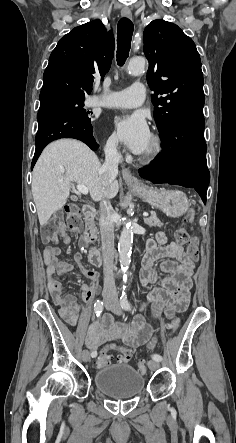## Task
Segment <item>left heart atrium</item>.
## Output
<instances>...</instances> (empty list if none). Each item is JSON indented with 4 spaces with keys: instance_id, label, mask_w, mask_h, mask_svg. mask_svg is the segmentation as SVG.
I'll use <instances>...</instances> for the list:
<instances>
[{
    "instance_id": "left-heart-atrium-1",
    "label": "left heart atrium",
    "mask_w": 236,
    "mask_h": 443,
    "mask_svg": "<svg viewBox=\"0 0 236 443\" xmlns=\"http://www.w3.org/2000/svg\"><path fill=\"white\" fill-rule=\"evenodd\" d=\"M117 138L134 153H143L151 139L145 116L140 112L119 115L112 119Z\"/></svg>"
}]
</instances>
